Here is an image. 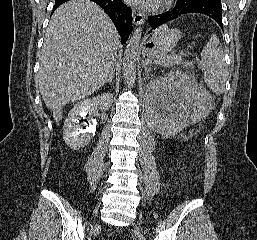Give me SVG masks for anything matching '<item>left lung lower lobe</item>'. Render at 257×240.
<instances>
[{"instance_id":"obj_1","label":"left lung lower lobe","mask_w":257,"mask_h":240,"mask_svg":"<svg viewBox=\"0 0 257 240\" xmlns=\"http://www.w3.org/2000/svg\"><path fill=\"white\" fill-rule=\"evenodd\" d=\"M221 8V0H199L196 2L177 0L175 6L170 11L149 17V32L162 24L191 13L202 14L212 18L223 30Z\"/></svg>"}]
</instances>
